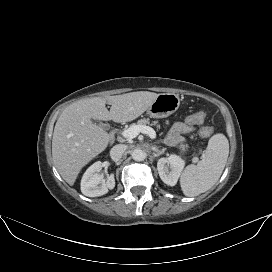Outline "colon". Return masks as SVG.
<instances>
[{
    "mask_svg": "<svg viewBox=\"0 0 272 272\" xmlns=\"http://www.w3.org/2000/svg\"><path fill=\"white\" fill-rule=\"evenodd\" d=\"M205 118H206V114L201 111V112H196V113L191 114L187 118V121L190 124L199 125L205 121ZM200 134L202 137H209L212 134V128L209 126H202L200 129Z\"/></svg>",
    "mask_w": 272,
    "mask_h": 272,
    "instance_id": "obj_1",
    "label": "colon"
}]
</instances>
